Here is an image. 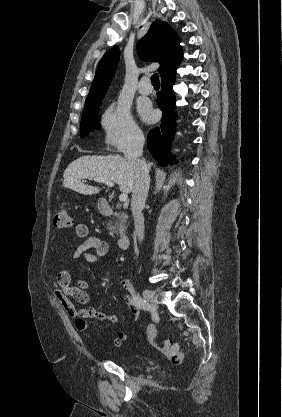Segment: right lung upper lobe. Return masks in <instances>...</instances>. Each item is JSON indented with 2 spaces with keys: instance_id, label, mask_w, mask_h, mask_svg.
Wrapping results in <instances>:
<instances>
[{
  "instance_id": "obj_1",
  "label": "right lung upper lobe",
  "mask_w": 282,
  "mask_h": 417,
  "mask_svg": "<svg viewBox=\"0 0 282 417\" xmlns=\"http://www.w3.org/2000/svg\"><path fill=\"white\" fill-rule=\"evenodd\" d=\"M177 33L167 22L156 20L148 33L138 42L137 50L143 60L158 62L161 77L176 68L183 58ZM120 50L118 46L111 48L100 60L89 96L105 94L114 76Z\"/></svg>"
}]
</instances>
